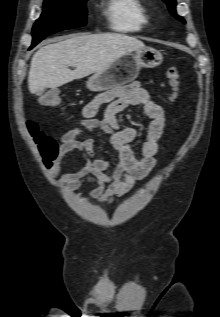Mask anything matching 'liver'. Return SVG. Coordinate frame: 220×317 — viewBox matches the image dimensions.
Listing matches in <instances>:
<instances>
[{"label":"liver","instance_id":"6515ba94","mask_svg":"<svg viewBox=\"0 0 220 317\" xmlns=\"http://www.w3.org/2000/svg\"><path fill=\"white\" fill-rule=\"evenodd\" d=\"M142 48V41L117 33L73 35L45 45L32 57L29 91L36 94L105 70L121 56Z\"/></svg>","mask_w":220,"mask_h":317}]
</instances>
